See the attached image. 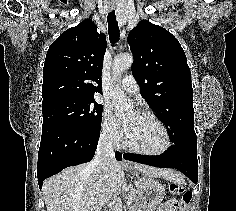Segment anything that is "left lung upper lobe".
<instances>
[{
    "instance_id": "1",
    "label": "left lung upper lobe",
    "mask_w": 236,
    "mask_h": 211,
    "mask_svg": "<svg viewBox=\"0 0 236 211\" xmlns=\"http://www.w3.org/2000/svg\"><path fill=\"white\" fill-rule=\"evenodd\" d=\"M132 73L174 145L197 146L193 89L185 53L166 29L142 20L128 35Z\"/></svg>"
}]
</instances>
